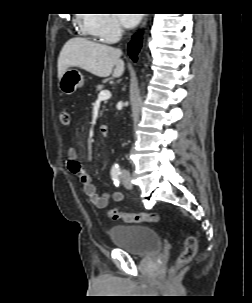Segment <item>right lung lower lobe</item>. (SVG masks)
<instances>
[{
  "label": "right lung lower lobe",
  "instance_id": "obj_1",
  "mask_svg": "<svg viewBox=\"0 0 252 303\" xmlns=\"http://www.w3.org/2000/svg\"><path fill=\"white\" fill-rule=\"evenodd\" d=\"M141 43H142V35L141 33H137L132 37V40L128 45V53L134 61H136L137 59L136 55L138 54V51L141 47Z\"/></svg>",
  "mask_w": 252,
  "mask_h": 303
}]
</instances>
